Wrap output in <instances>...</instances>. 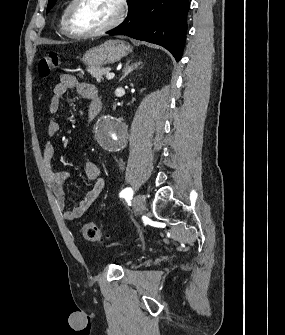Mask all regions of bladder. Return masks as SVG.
<instances>
[{
  "label": "bladder",
  "mask_w": 285,
  "mask_h": 335,
  "mask_svg": "<svg viewBox=\"0 0 285 335\" xmlns=\"http://www.w3.org/2000/svg\"><path fill=\"white\" fill-rule=\"evenodd\" d=\"M127 258H134V256H128Z\"/></svg>",
  "instance_id": "31cf9c89"
}]
</instances>
